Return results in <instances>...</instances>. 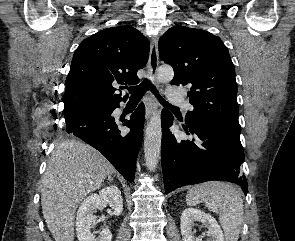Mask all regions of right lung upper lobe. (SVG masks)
I'll return each instance as SVG.
<instances>
[{
	"label": "right lung upper lobe",
	"instance_id": "right-lung-upper-lobe-1",
	"mask_svg": "<svg viewBox=\"0 0 295 241\" xmlns=\"http://www.w3.org/2000/svg\"><path fill=\"white\" fill-rule=\"evenodd\" d=\"M149 57V41L131 26L106 28L84 39L66 78L65 114L113 105L127 98L117 84H137Z\"/></svg>",
	"mask_w": 295,
	"mask_h": 241
}]
</instances>
